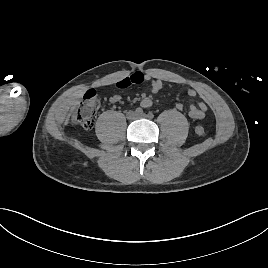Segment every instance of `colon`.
Returning <instances> with one entry per match:
<instances>
[{
  "mask_svg": "<svg viewBox=\"0 0 268 268\" xmlns=\"http://www.w3.org/2000/svg\"><path fill=\"white\" fill-rule=\"evenodd\" d=\"M129 85L130 82L125 80L118 86L120 88H125ZM98 105L99 100L97 93L94 90H88L84 94L80 104L73 109L71 114L72 121L83 129H91L94 123ZM194 131L197 136H203L205 134L204 126L200 124L195 127Z\"/></svg>",
  "mask_w": 268,
  "mask_h": 268,
  "instance_id": "5ec220e1",
  "label": "colon"
}]
</instances>
